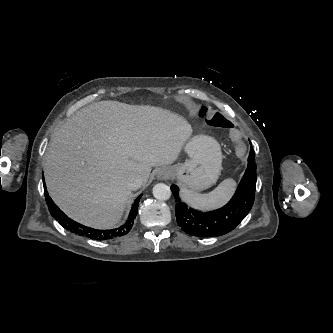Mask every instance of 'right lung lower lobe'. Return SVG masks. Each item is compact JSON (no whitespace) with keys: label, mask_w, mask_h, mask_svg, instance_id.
I'll return each mask as SVG.
<instances>
[{"label":"right lung lower lobe","mask_w":333,"mask_h":333,"mask_svg":"<svg viewBox=\"0 0 333 333\" xmlns=\"http://www.w3.org/2000/svg\"><path fill=\"white\" fill-rule=\"evenodd\" d=\"M45 197L46 202L49 208L51 215L59 222L61 226H63L68 231L75 233L79 236L88 237L94 240H109L112 238L120 237L126 235L133 226V221L137 215L139 200L142 195H139L134 201L129 218L126 223L119 228L111 229V230H97L82 224H79L72 219L68 218L52 201L49 197L48 192H46V186L44 183Z\"/></svg>","instance_id":"obj_1"}]
</instances>
